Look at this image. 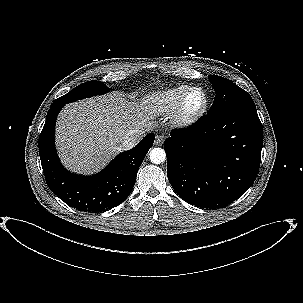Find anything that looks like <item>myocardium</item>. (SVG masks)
<instances>
[{"mask_svg":"<svg viewBox=\"0 0 303 303\" xmlns=\"http://www.w3.org/2000/svg\"><path fill=\"white\" fill-rule=\"evenodd\" d=\"M200 92L203 97L201 106L195 110L188 108V99L193 92ZM208 107V96L206 91L201 87H191L179 101L172 114V122L178 127H188L198 121L206 112Z\"/></svg>","mask_w":303,"mask_h":303,"instance_id":"f54148a6","label":"myocardium"}]
</instances>
